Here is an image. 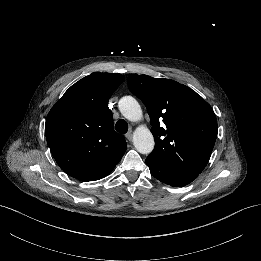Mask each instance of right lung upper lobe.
Here are the masks:
<instances>
[{"mask_svg":"<svg viewBox=\"0 0 261 261\" xmlns=\"http://www.w3.org/2000/svg\"><path fill=\"white\" fill-rule=\"evenodd\" d=\"M121 74L94 72L72 85L50 110L45 124L48 146L58 165L81 181L108 175L126 150L113 128L108 100Z\"/></svg>","mask_w":261,"mask_h":261,"instance_id":"right-lung-upper-lobe-1","label":"right lung upper lobe"}]
</instances>
